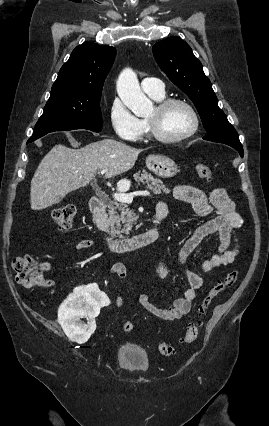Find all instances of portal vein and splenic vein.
I'll return each mask as SVG.
<instances>
[{"mask_svg": "<svg viewBox=\"0 0 269 426\" xmlns=\"http://www.w3.org/2000/svg\"><path fill=\"white\" fill-rule=\"evenodd\" d=\"M107 170L103 169L101 170V174L106 173ZM134 196H150L149 191H136L132 193H124V192H118L113 194V198L122 203H131L133 201Z\"/></svg>", "mask_w": 269, "mask_h": 426, "instance_id": "18ae733b", "label": "portal vein and splenic vein"}]
</instances>
